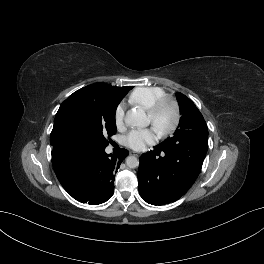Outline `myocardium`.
Here are the masks:
<instances>
[{"label":"myocardium","instance_id":"f54148a6","mask_svg":"<svg viewBox=\"0 0 264 264\" xmlns=\"http://www.w3.org/2000/svg\"><path fill=\"white\" fill-rule=\"evenodd\" d=\"M169 106L172 111V121L166 127L157 126V118L164 107ZM148 115L151 118V123L154 125L158 133L165 137L173 134L181 122V110L178 102L169 96H164L158 99L149 109Z\"/></svg>","mask_w":264,"mask_h":264}]
</instances>
